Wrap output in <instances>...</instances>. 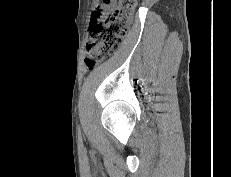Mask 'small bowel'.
<instances>
[{
  "label": "small bowel",
  "mask_w": 231,
  "mask_h": 177,
  "mask_svg": "<svg viewBox=\"0 0 231 177\" xmlns=\"http://www.w3.org/2000/svg\"><path fill=\"white\" fill-rule=\"evenodd\" d=\"M111 4H104V10L107 9Z\"/></svg>",
  "instance_id": "small-bowel-1"
}]
</instances>
